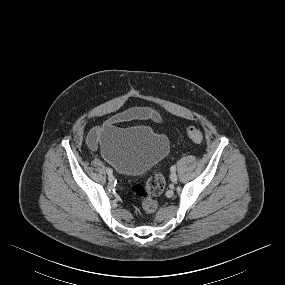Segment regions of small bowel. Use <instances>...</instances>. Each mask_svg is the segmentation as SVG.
Here are the masks:
<instances>
[{"label": "small bowel", "instance_id": "small-bowel-1", "mask_svg": "<svg viewBox=\"0 0 285 285\" xmlns=\"http://www.w3.org/2000/svg\"><path fill=\"white\" fill-rule=\"evenodd\" d=\"M133 119L151 120L156 123H161L163 121L162 116L156 110L148 107H137L112 116L109 119L108 123L114 124ZM99 139H100V128H95L89 133L87 137L88 146L91 149H96L98 146Z\"/></svg>", "mask_w": 285, "mask_h": 285}]
</instances>
